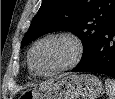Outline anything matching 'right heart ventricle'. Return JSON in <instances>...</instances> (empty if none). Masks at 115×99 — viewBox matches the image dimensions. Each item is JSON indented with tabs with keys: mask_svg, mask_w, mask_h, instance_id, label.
Here are the masks:
<instances>
[{
	"mask_svg": "<svg viewBox=\"0 0 115 99\" xmlns=\"http://www.w3.org/2000/svg\"><path fill=\"white\" fill-rule=\"evenodd\" d=\"M29 71H30V73H33V72L31 71L30 67H29Z\"/></svg>",
	"mask_w": 115,
	"mask_h": 99,
	"instance_id": "1",
	"label": "right heart ventricle"
}]
</instances>
